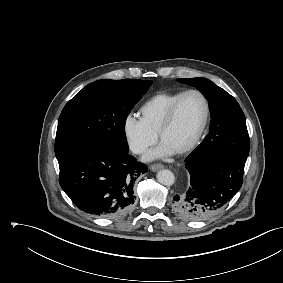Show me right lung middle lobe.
I'll return each instance as SVG.
<instances>
[{"instance_id":"1","label":"right lung middle lobe","mask_w":283,"mask_h":283,"mask_svg":"<svg viewBox=\"0 0 283 283\" xmlns=\"http://www.w3.org/2000/svg\"><path fill=\"white\" fill-rule=\"evenodd\" d=\"M152 81L99 80L90 83L64 107L58 121L57 160L88 146L107 145L128 152L125 122Z\"/></svg>"}]
</instances>
